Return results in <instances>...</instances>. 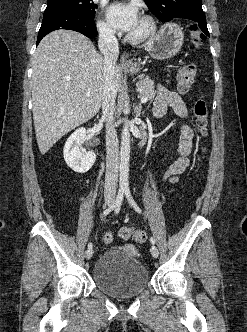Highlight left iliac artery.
Wrapping results in <instances>:
<instances>
[{
    "mask_svg": "<svg viewBox=\"0 0 247 332\" xmlns=\"http://www.w3.org/2000/svg\"><path fill=\"white\" fill-rule=\"evenodd\" d=\"M125 195H126V198L129 202V204L138 212V213H141V209L139 208V206L136 204V202L133 200L132 196H131V193H130V190L129 189H126L125 190ZM150 242L152 244H155V239L153 237L150 238Z\"/></svg>",
    "mask_w": 247,
    "mask_h": 332,
    "instance_id": "obj_1",
    "label": "left iliac artery"
}]
</instances>
